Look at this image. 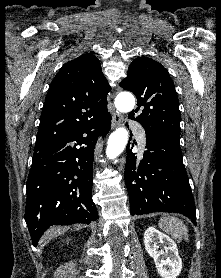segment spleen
I'll return each mask as SVG.
<instances>
[{
	"instance_id": "obj_1",
	"label": "spleen",
	"mask_w": 221,
	"mask_h": 278,
	"mask_svg": "<svg viewBox=\"0 0 221 278\" xmlns=\"http://www.w3.org/2000/svg\"><path fill=\"white\" fill-rule=\"evenodd\" d=\"M158 226L178 242H180L182 239L188 240L187 227L183 221L178 218L161 217L159 219Z\"/></svg>"
}]
</instances>
